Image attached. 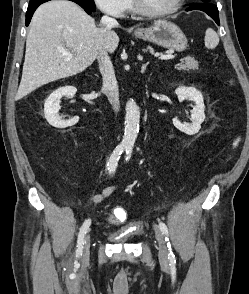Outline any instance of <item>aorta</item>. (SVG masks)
<instances>
[{
    "label": "aorta",
    "mask_w": 249,
    "mask_h": 294,
    "mask_svg": "<svg viewBox=\"0 0 249 294\" xmlns=\"http://www.w3.org/2000/svg\"><path fill=\"white\" fill-rule=\"evenodd\" d=\"M125 110V132L122 145L132 148L139 132L140 110L134 100L127 101Z\"/></svg>",
    "instance_id": "aorta-1"
}]
</instances>
